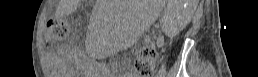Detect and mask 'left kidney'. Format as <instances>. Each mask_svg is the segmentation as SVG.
Listing matches in <instances>:
<instances>
[{"instance_id":"obj_1","label":"left kidney","mask_w":258,"mask_h":77,"mask_svg":"<svg viewBox=\"0 0 258 77\" xmlns=\"http://www.w3.org/2000/svg\"><path fill=\"white\" fill-rule=\"evenodd\" d=\"M186 2V8L180 9V7H177L170 10V14L165 20H170L172 23L176 24L178 28H183L185 25H187L196 10L198 0H187Z\"/></svg>"}]
</instances>
